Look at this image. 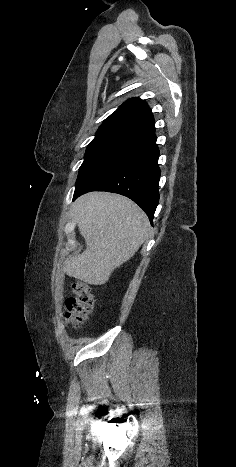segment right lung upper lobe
I'll return each instance as SVG.
<instances>
[{
  "label": "right lung upper lobe",
  "instance_id": "obj_1",
  "mask_svg": "<svg viewBox=\"0 0 236 467\" xmlns=\"http://www.w3.org/2000/svg\"><path fill=\"white\" fill-rule=\"evenodd\" d=\"M99 128H122L141 135L154 129V118L144 100L133 98L123 103Z\"/></svg>",
  "mask_w": 236,
  "mask_h": 467
}]
</instances>
